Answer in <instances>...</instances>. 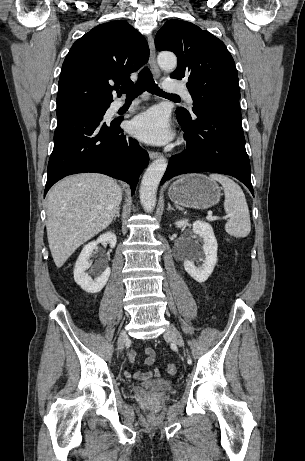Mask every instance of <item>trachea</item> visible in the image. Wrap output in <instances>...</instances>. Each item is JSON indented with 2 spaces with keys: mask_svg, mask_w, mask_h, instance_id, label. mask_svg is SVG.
<instances>
[{
  "mask_svg": "<svg viewBox=\"0 0 305 461\" xmlns=\"http://www.w3.org/2000/svg\"><path fill=\"white\" fill-rule=\"evenodd\" d=\"M120 90L122 93L126 94L127 99H134L146 90L152 94L179 99L178 95L167 94L163 92V90H161L158 85L155 84L151 71L147 67L140 71L138 81L135 84L131 86L120 87Z\"/></svg>",
  "mask_w": 305,
  "mask_h": 461,
  "instance_id": "obj_1",
  "label": "trachea"
}]
</instances>
